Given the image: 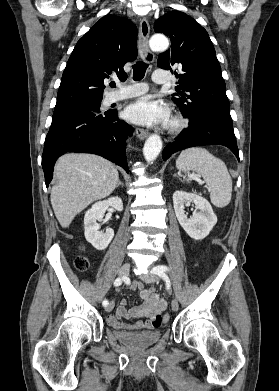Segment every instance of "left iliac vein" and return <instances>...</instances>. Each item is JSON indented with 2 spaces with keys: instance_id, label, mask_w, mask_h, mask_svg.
Listing matches in <instances>:
<instances>
[{
  "instance_id": "left-iliac-vein-1",
  "label": "left iliac vein",
  "mask_w": 279,
  "mask_h": 391,
  "mask_svg": "<svg viewBox=\"0 0 279 391\" xmlns=\"http://www.w3.org/2000/svg\"><path fill=\"white\" fill-rule=\"evenodd\" d=\"M141 279L145 282V283H154V282H157L158 281V278L157 276L155 275H141ZM171 308L173 311H177L179 309V304H178V301L177 299H173L172 302H171Z\"/></svg>"
}]
</instances>
